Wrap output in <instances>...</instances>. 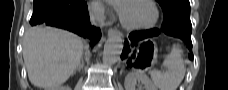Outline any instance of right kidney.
Segmentation results:
<instances>
[{
	"label": "right kidney",
	"instance_id": "right-kidney-1",
	"mask_svg": "<svg viewBox=\"0 0 228 90\" xmlns=\"http://www.w3.org/2000/svg\"><path fill=\"white\" fill-rule=\"evenodd\" d=\"M69 86H59L57 88H51L49 90H70Z\"/></svg>",
	"mask_w": 228,
	"mask_h": 90
}]
</instances>
